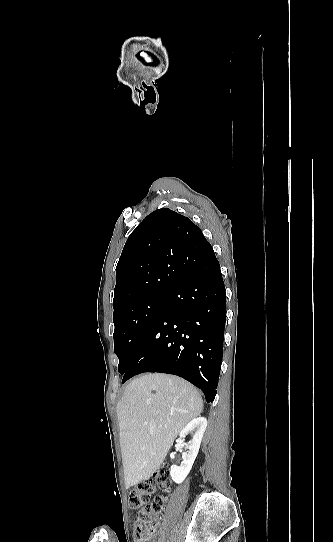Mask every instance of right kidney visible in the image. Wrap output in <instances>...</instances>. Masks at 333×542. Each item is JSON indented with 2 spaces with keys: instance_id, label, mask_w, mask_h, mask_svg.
<instances>
[{
  "instance_id": "1",
  "label": "right kidney",
  "mask_w": 333,
  "mask_h": 542,
  "mask_svg": "<svg viewBox=\"0 0 333 542\" xmlns=\"http://www.w3.org/2000/svg\"><path fill=\"white\" fill-rule=\"evenodd\" d=\"M206 428V418H194V420H191V422L181 430L179 442L181 446H186L188 452H183V462H181V466H171L170 468V476L175 484H182L185 478H187L196 460ZM187 434H192L193 438L191 442L185 444L184 438H186Z\"/></svg>"
}]
</instances>
